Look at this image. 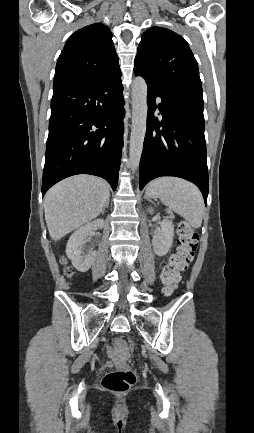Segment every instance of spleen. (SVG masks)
<instances>
[{"label":"spleen","instance_id":"1","mask_svg":"<svg viewBox=\"0 0 254 433\" xmlns=\"http://www.w3.org/2000/svg\"><path fill=\"white\" fill-rule=\"evenodd\" d=\"M146 195L159 198L193 228L201 226L204 201L194 184L176 177H160L149 183Z\"/></svg>","mask_w":254,"mask_h":433}]
</instances>
